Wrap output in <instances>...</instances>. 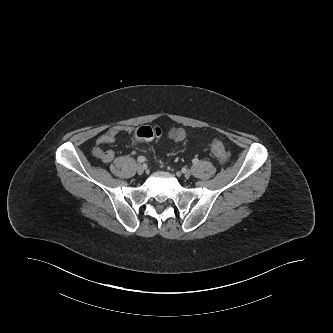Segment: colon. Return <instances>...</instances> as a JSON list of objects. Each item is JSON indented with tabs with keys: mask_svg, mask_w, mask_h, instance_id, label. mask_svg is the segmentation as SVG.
<instances>
[{
	"mask_svg": "<svg viewBox=\"0 0 333 333\" xmlns=\"http://www.w3.org/2000/svg\"><path fill=\"white\" fill-rule=\"evenodd\" d=\"M163 135V129L159 126H141L135 132V138L137 140H151L154 138L161 137ZM170 137L173 139H182L184 137V133L179 128H171L169 131ZM211 151L213 155L220 161L225 162L229 157V152L225 145L219 141L214 140L211 144Z\"/></svg>",
	"mask_w": 333,
	"mask_h": 333,
	"instance_id": "5ec220e1",
	"label": "colon"
}]
</instances>
